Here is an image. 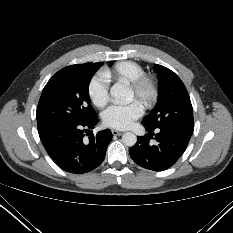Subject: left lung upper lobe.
<instances>
[{"mask_svg":"<svg viewBox=\"0 0 233 233\" xmlns=\"http://www.w3.org/2000/svg\"><path fill=\"white\" fill-rule=\"evenodd\" d=\"M159 88L155 108L142 120L149 129H194L193 109L188 92L180 78L170 69L155 64Z\"/></svg>","mask_w":233,"mask_h":233,"instance_id":"left-lung-upper-lobe-1","label":"left lung upper lobe"}]
</instances>
